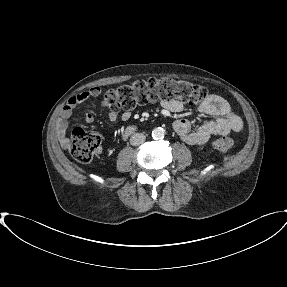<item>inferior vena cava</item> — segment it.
Listing matches in <instances>:
<instances>
[{
  "mask_svg": "<svg viewBox=\"0 0 287 287\" xmlns=\"http://www.w3.org/2000/svg\"><path fill=\"white\" fill-rule=\"evenodd\" d=\"M146 136L143 133H135L130 138V143L133 146L141 145L145 142Z\"/></svg>",
  "mask_w": 287,
  "mask_h": 287,
  "instance_id": "1",
  "label": "inferior vena cava"
}]
</instances>
